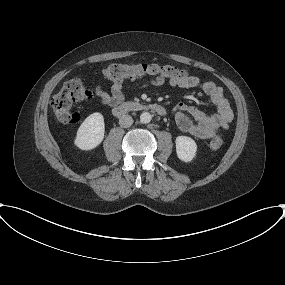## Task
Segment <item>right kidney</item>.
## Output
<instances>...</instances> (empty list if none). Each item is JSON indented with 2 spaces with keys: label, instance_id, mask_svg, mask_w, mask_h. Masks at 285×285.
<instances>
[{
  "label": "right kidney",
  "instance_id": "ca27d5eb",
  "mask_svg": "<svg viewBox=\"0 0 285 285\" xmlns=\"http://www.w3.org/2000/svg\"><path fill=\"white\" fill-rule=\"evenodd\" d=\"M104 132L103 115L98 112L93 113L80 125L74 144L81 150H92L103 141Z\"/></svg>",
  "mask_w": 285,
  "mask_h": 285
}]
</instances>
